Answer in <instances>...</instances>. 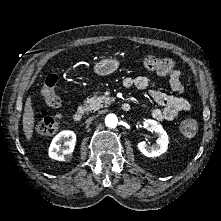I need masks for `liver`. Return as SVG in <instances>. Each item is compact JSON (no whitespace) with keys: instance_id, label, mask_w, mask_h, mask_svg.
<instances>
[{"instance_id":"6515ba94","label":"liver","mask_w":221,"mask_h":221,"mask_svg":"<svg viewBox=\"0 0 221 221\" xmlns=\"http://www.w3.org/2000/svg\"><path fill=\"white\" fill-rule=\"evenodd\" d=\"M34 116L35 112L32 107V99L31 96H29L26 100L23 113V131L27 140H30L33 135V127L35 122Z\"/></svg>"}]
</instances>
